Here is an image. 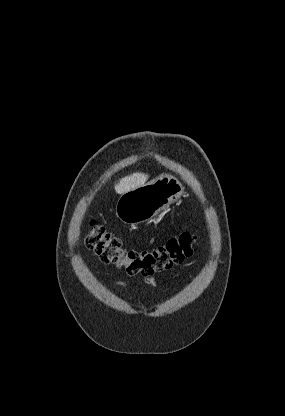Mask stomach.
I'll use <instances>...</instances> for the list:
<instances>
[{
    "label": "stomach",
    "mask_w": 285,
    "mask_h": 416,
    "mask_svg": "<svg viewBox=\"0 0 285 416\" xmlns=\"http://www.w3.org/2000/svg\"><path fill=\"white\" fill-rule=\"evenodd\" d=\"M183 194L184 188L177 178L160 174L149 184L120 196L116 204V216L124 224H143L170 204L178 202Z\"/></svg>",
    "instance_id": "obj_1"
}]
</instances>
